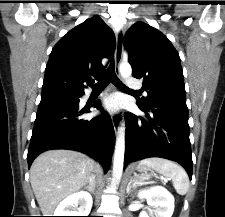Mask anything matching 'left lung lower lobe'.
I'll use <instances>...</instances> for the list:
<instances>
[{"mask_svg":"<svg viewBox=\"0 0 225 217\" xmlns=\"http://www.w3.org/2000/svg\"><path fill=\"white\" fill-rule=\"evenodd\" d=\"M138 106L144 117L125 113L124 166L135 160L161 157L181 164L191 179L193 162L186 101H152Z\"/></svg>","mask_w":225,"mask_h":217,"instance_id":"obj_1","label":"left lung lower lobe"}]
</instances>
